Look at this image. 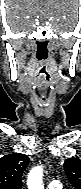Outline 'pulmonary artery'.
I'll list each match as a JSON object with an SVG mask.
<instances>
[{"label":"pulmonary artery","instance_id":"pulmonary-artery-1","mask_svg":"<svg viewBox=\"0 0 81 189\" xmlns=\"http://www.w3.org/2000/svg\"><path fill=\"white\" fill-rule=\"evenodd\" d=\"M48 187L49 189H62V184L57 180H51Z\"/></svg>","mask_w":81,"mask_h":189}]
</instances>
